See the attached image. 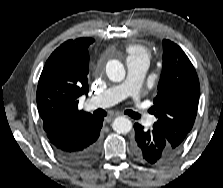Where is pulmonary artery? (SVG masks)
<instances>
[{
  "label": "pulmonary artery",
  "instance_id": "pulmonary-artery-1",
  "mask_svg": "<svg viewBox=\"0 0 223 188\" xmlns=\"http://www.w3.org/2000/svg\"><path fill=\"white\" fill-rule=\"evenodd\" d=\"M126 79L99 95L87 100L89 109L106 108L112 106L125 98H130L133 102L135 112L143 118L147 124H152L153 118L150 117L143 105L139 90L148 69L149 62L143 57H128Z\"/></svg>",
  "mask_w": 223,
  "mask_h": 188
}]
</instances>
